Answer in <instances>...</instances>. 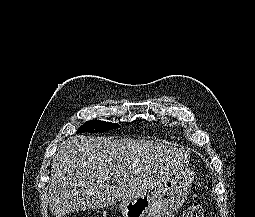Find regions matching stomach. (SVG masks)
<instances>
[{
	"label": "stomach",
	"instance_id": "obj_1",
	"mask_svg": "<svg viewBox=\"0 0 255 217\" xmlns=\"http://www.w3.org/2000/svg\"><path fill=\"white\" fill-rule=\"evenodd\" d=\"M194 173L185 167L165 181L152 196L122 202L123 217H174L188 197Z\"/></svg>",
	"mask_w": 255,
	"mask_h": 217
}]
</instances>
